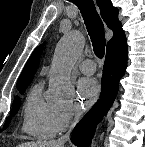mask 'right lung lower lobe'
<instances>
[{"mask_svg":"<svg viewBox=\"0 0 145 147\" xmlns=\"http://www.w3.org/2000/svg\"><path fill=\"white\" fill-rule=\"evenodd\" d=\"M127 43L125 34L108 47L101 80L100 99L73 130L71 141L78 147L90 145L95 127L110 109L118 92V81L127 67Z\"/></svg>","mask_w":145,"mask_h":147,"instance_id":"obj_1","label":"right lung lower lobe"}]
</instances>
